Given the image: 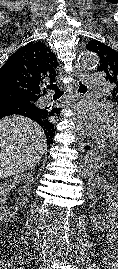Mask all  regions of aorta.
<instances>
[{
  "label": "aorta",
  "instance_id": "1",
  "mask_svg": "<svg viewBox=\"0 0 118 269\" xmlns=\"http://www.w3.org/2000/svg\"><path fill=\"white\" fill-rule=\"evenodd\" d=\"M79 64L82 68L93 69L99 64V57L94 52H83L79 56ZM101 166V157L97 152H91L79 164V173L83 177L97 174Z\"/></svg>",
  "mask_w": 118,
  "mask_h": 269
}]
</instances>
